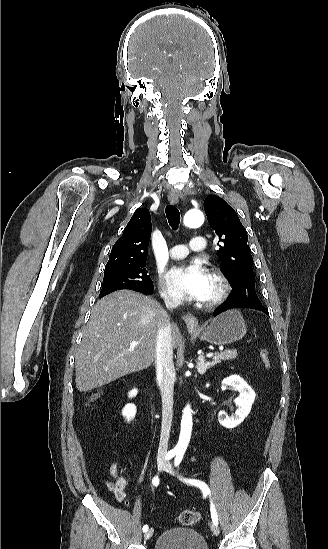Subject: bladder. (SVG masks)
Instances as JSON below:
<instances>
[{
  "mask_svg": "<svg viewBox=\"0 0 328 549\" xmlns=\"http://www.w3.org/2000/svg\"><path fill=\"white\" fill-rule=\"evenodd\" d=\"M154 549H209L206 542L190 528L171 529L157 539Z\"/></svg>",
  "mask_w": 328,
  "mask_h": 549,
  "instance_id": "obj_1",
  "label": "bladder"
}]
</instances>
